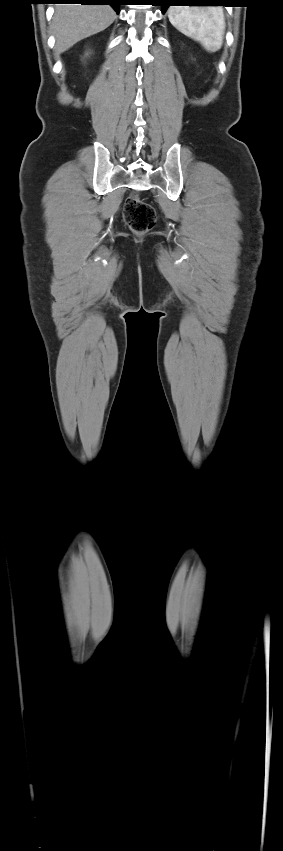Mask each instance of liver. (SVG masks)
Listing matches in <instances>:
<instances>
[{"label":"liver","instance_id":"6515ba94","mask_svg":"<svg viewBox=\"0 0 283 851\" xmlns=\"http://www.w3.org/2000/svg\"><path fill=\"white\" fill-rule=\"evenodd\" d=\"M116 19L108 5H58L52 20L55 51L61 54L77 42L109 27Z\"/></svg>","mask_w":283,"mask_h":851}]
</instances>
